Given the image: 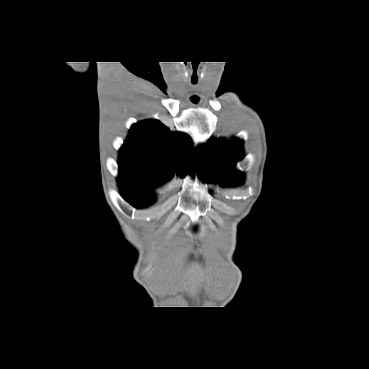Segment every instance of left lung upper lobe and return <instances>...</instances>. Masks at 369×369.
I'll use <instances>...</instances> for the list:
<instances>
[{
  "label": "left lung upper lobe",
  "instance_id": "obj_1",
  "mask_svg": "<svg viewBox=\"0 0 369 369\" xmlns=\"http://www.w3.org/2000/svg\"><path fill=\"white\" fill-rule=\"evenodd\" d=\"M243 141L232 139L210 140L195 152L196 168L201 179L207 183L236 186L244 181V174L233 169L236 162L243 158Z\"/></svg>",
  "mask_w": 369,
  "mask_h": 369
}]
</instances>
